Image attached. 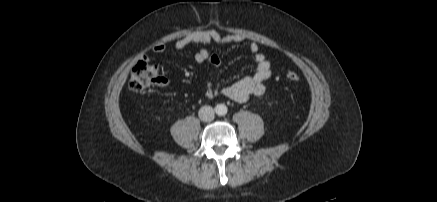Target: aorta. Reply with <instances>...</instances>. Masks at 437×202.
I'll list each match as a JSON object with an SVG mask.
<instances>
[{
	"mask_svg": "<svg viewBox=\"0 0 437 202\" xmlns=\"http://www.w3.org/2000/svg\"><path fill=\"white\" fill-rule=\"evenodd\" d=\"M215 111L218 115H226L227 114V107L225 104H218L215 108Z\"/></svg>",
	"mask_w": 437,
	"mask_h": 202,
	"instance_id": "1",
	"label": "aorta"
}]
</instances>
